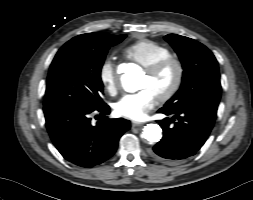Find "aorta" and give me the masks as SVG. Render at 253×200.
<instances>
[{"label": "aorta", "instance_id": "1", "mask_svg": "<svg viewBox=\"0 0 253 200\" xmlns=\"http://www.w3.org/2000/svg\"><path fill=\"white\" fill-rule=\"evenodd\" d=\"M121 83L127 92H135L140 89L139 75L135 71H127L123 74ZM142 137L151 143L158 142L162 138V129L157 124H147L143 129Z\"/></svg>", "mask_w": 253, "mask_h": 200}]
</instances>
